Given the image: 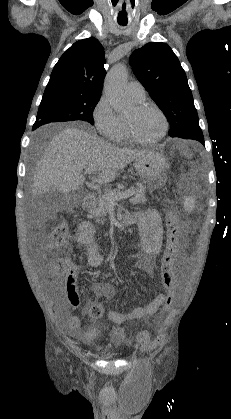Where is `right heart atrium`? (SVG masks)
I'll return each instance as SVG.
<instances>
[{
	"instance_id": "right-heart-atrium-1",
	"label": "right heart atrium",
	"mask_w": 231,
	"mask_h": 419,
	"mask_svg": "<svg viewBox=\"0 0 231 419\" xmlns=\"http://www.w3.org/2000/svg\"><path fill=\"white\" fill-rule=\"evenodd\" d=\"M93 119L101 135L107 139L120 140L125 134V125L114 111L106 95H102L93 109Z\"/></svg>"
}]
</instances>
